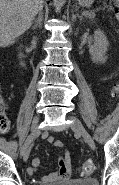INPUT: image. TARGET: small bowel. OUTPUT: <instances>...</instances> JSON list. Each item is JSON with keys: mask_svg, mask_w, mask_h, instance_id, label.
I'll return each mask as SVG.
<instances>
[{"mask_svg": "<svg viewBox=\"0 0 119 185\" xmlns=\"http://www.w3.org/2000/svg\"><path fill=\"white\" fill-rule=\"evenodd\" d=\"M48 141L54 147L61 149L64 152V154L58 162L57 169L48 175L40 176L39 177L40 181L42 183H52L60 180H68L71 176V160L69 152L66 150L65 145L62 141L56 140L51 136L48 137ZM39 165L40 159L38 157H35L32 160L31 166L27 168L28 174L32 176L35 175Z\"/></svg>", "mask_w": 119, "mask_h": 185, "instance_id": "1", "label": "small bowel"}]
</instances>
